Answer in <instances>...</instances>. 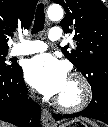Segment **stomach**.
I'll list each match as a JSON object with an SVG mask.
<instances>
[{
  "label": "stomach",
  "mask_w": 108,
  "mask_h": 127,
  "mask_svg": "<svg viewBox=\"0 0 108 127\" xmlns=\"http://www.w3.org/2000/svg\"><path fill=\"white\" fill-rule=\"evenodd\" d=\"M92 127H97L96 124H90ZM47 127H89L86 122L80 119H73L63 124L54 123L52 125H48Z\"/></svg>",
  "instance_id": "obj_1"
}]
</instances>
